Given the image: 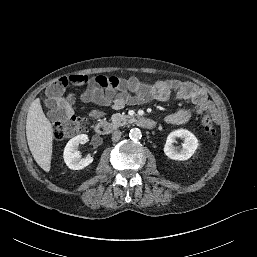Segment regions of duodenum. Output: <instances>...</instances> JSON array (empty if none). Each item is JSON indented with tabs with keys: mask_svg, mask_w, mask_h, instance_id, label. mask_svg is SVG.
Wrapping results in <instances>:
<instances>
[{
	"mask_svg": "<svg viewBox=\"0 0 257 257\" xmlns=\"http://www.w3.org/2000/svg\"><path fill=\"white\" fill-rule=\"evenodd\" d=\"M136 124L144 129H152L156 125L154 120L146 117H140L136 119ZM113 130V124L104 120L99 121L95 126V131L99 135H107L111 133Z\"/></svg>",
	"mask_w": 257,
	"mask_h": 257,
	"instance_id": "410a0bca",
	"label": "duodenum"
}]
</instances>
